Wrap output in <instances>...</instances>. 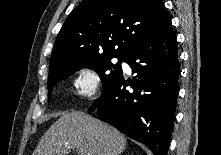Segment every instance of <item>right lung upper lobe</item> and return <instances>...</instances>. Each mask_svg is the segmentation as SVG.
<instances>
[{
	"instance_id": "right-lung-upper-lobe-1",
	"label": "right lung upper lobe",
	"mask_w": 221,
	"mask_h": 155,
	"mask_svg": "<svg viewBox=\"0 0 221 155\" xmlns=\"http://www.w3.org/2000/svg\"><path fill=\"white\" fill-rule=\"evenodd\" d=\"M169 24L161 0H84L57 36L49 73L83 61L127 57L143 37Z\"/></svg>"
}]
</instances>
